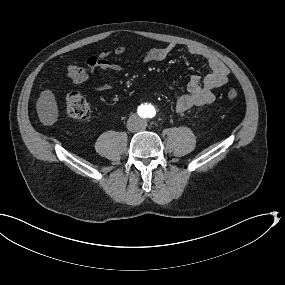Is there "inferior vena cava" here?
<instances>
[{"label":"inferior vena cava","mask_w":285,"mask_h":285,"mask_svg":"<svg viewBox=\"0 0 285 285\" xmlns=\"http://www.w3.org/2000/svg\"><path fill=\"white\" fill-rule=\"evenodd\" d=\"M145 124L142 122V120L139 117L129 119L127 122V129L130 132H137L142 129H144Z\"/></svg>","instance_id":"1"}]
</instances>
